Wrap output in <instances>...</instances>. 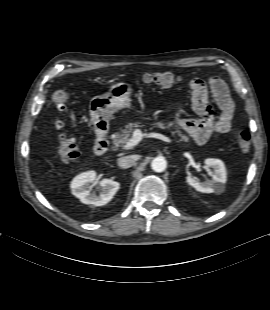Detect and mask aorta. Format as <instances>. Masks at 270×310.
<instances>
[{"instance_id":"762f6f07","label":"aorta","mask_w":270,"mask_h":310,"mask_svg":"<svg viewBox=\"0 0 270 310\" xmlns=\"http://www.w3.org/2000/svg\"><path fill=\"white\" fill-rule=\"evenodd\" d=\"M167 162L164 157H156L151 162V168L155 172H163L166 169Z\"/></svg>"}]
</instances>
